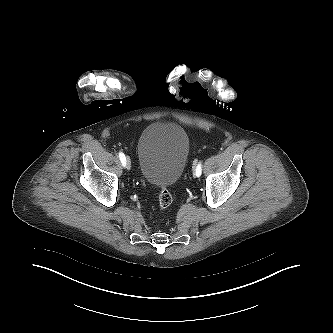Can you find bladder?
<instances>
[{
    "mask_svg": "<svg viewBox=\"0 0 333 333\" xmlns=\"http://www.w3.org/2000/svg\"><path fill=\"white\" fill-rule=\"evenodd\" d=\"M190 140L178 124L155 122L147 126L137 142L138 168L149 185L166 187L181 178L189 156Z\"/></svg>",
    "mask_w": 333,
    "mask_h": 333,
    "instance_id": "1",
    "label": "bladder"
}]
</instances>
